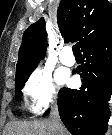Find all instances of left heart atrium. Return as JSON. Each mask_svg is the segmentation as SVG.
I'll use <instances>...</instances> for the list:
<instances>
[{"label": "left heart atrium", "mask_w": 112, "mask_h": 135, "mask_svg": "<svg viewBox=\"0 0 112 135\" xmlns=\"http://www.w3.org/2000/svg\"><path fill=\"white\" fill-rule=\"evenodd\" d=\"M56 79L59 84H68L71 82L69 73L64 70H59L57 72Z\"/></svg>", "instance_id": "left-heart-atrium-1"}]
</instances>
